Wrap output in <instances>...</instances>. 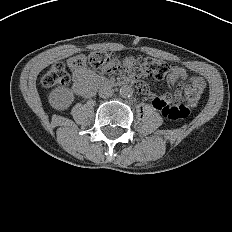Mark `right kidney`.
I'll use <instances>...</instances> for the list:
<instances>
[{
	"label": "right kidney",
	"mask_w": 232,
	"mask_h": 232,
	"mask_svg": "<svg viewBox=\"0 0 232 232\" xmlns=\"http://www.w3.org/2000/svg\"><path fill=\"white\" fill-rule=\"evenodd\" d=\"M73 101L74 95L69 88L58 87L49 94V103L56 110L67 109Z\"/></svg>",
	"instance_id": "obj_1"
}]
</instances>
